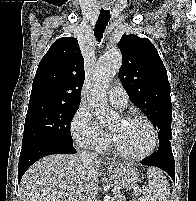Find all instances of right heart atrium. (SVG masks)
<instances>
[{
	"instance_id": "obj_1",
	"label": "right heart atrium",
	"mask_w": 196,
	"mask_h": 201,
	"mask_svg": "<svg viewBox=\"0 0 196 201\" xmlns=\"http://www.w3.org/2000/svg\"><path fill=\"white\" fill-rule=\"evenodd\" d=\"M71 135L76 146L94 152L105 151L109 135L97 124L85 107H79L71 121Z\"/></svg>"
}]
</instances>
